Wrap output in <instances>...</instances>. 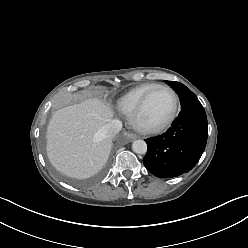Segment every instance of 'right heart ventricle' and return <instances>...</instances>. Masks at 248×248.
Returning a JSON list of instances; mask_svg holds the SVG:
<instances>
[{
  "mask_svg": "<svg viewBox=\"0 0 248 248\" xmlns=\"http://www.w3.org/2000/svg\"><path fill=\"white\" fill-rule=\"evenodd\" d=\"M155 83H145L139 86H136L126 92L118 100L117 106L118 109L125 115L131 116L135 111L138 103L140 102L143 95L152 88Z\"/></svg>",
  "mask_w": 248,
  "mask_h": 248,
  "instance_id": "obj_1",
  "label": "right heart ventricle"
}]
</instances>
